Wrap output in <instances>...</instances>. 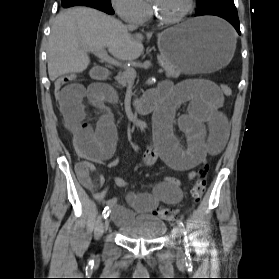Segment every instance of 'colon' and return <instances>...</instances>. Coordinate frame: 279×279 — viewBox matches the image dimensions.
Listing matches in <instances>:
<instances>
[{"instance_id": "obj_1", "label": "colon", "mask_w": 279, "mask_h": 279, "mask_svg": "<svg viewBox=\"0 0 279 279\" xmlns=\"http://www.w3.org/2000/svg\"><path fill=\"white\" fill-rule=\"evenodd\" d=\"M70 80L71 78L67 76H62L55 81L54 94L57 98L59 97L63 88L69 83ZM220 89L226 96H230L232 93L231 86L228 83H221ZM207 172H208L207 165H204L196 172L197 178L191 189V196L195 202H199L205 192ZM154 214H156L162 219L170 220V221L175 220L176 218V213L173 210H170L168 208L156 209L154 211Z\"/></svg>"}]
</instances>
